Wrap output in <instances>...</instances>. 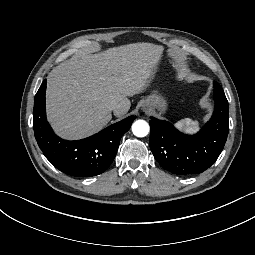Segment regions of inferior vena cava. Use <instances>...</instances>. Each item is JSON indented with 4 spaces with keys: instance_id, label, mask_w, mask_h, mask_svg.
<instances>
[{
    "instance_id": "602c4592",
    "label": "inferior vena cava",
    "mask_w": 255,
    "mask_h": 255,
    "mask_svg": "<svg viewBox=\"0 0 255 255\" xmlns=\"http://www.w3.org/2000/svg\"><path fill=\"white\" fill-rule=\"evenodd\" d=\"M122 108V106H121V104L120 103H118V102H113L112 104H111V110L112 111H116V110H118V109H121Z\"/></svg>"
}]
</instances>
